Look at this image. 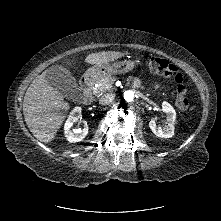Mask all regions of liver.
Wrapping results in <instances>:
<instances>
[{
    "label": "liver",
    "mask_w": 221,
    "mask_h": 221,
    "mask_svg": "<svg viewBox=\"0 0 221 221\" xmlns=\"http://www.w3.org/2000/svg\"><path fill=\"white\" fill-rule=\"evenodd\" d=\"M123 55V53L115 51L92 53L85 58V62L101 66ZM46 71L32 81L23 102V114L29 130L39 141L44 143L55 138L69 109L63 96L48 84Z\"/></svg>",
    "instance_id": "6515ba94"
}]
</instances>
